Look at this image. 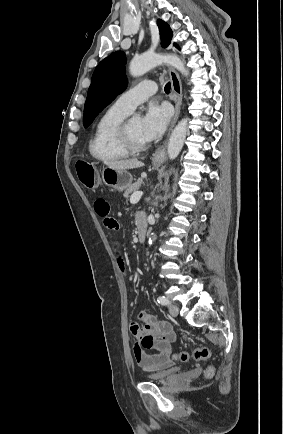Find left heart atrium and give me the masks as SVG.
<instances>
[{"label":"left heart atrium","mask_w":283,"mask_h":434,"mask_svg":"<svg viewBox=\"0 0 283 434\" xmlns=\"http://www.w3.org/2000/svg\"><path fill=\"white\" fill-rule=\"evenodd\" d=\"M171 111L166 105L152 104L141 122V135L145 141L158 139L164 133L170 120Z\"/></svg>","instance_id":"39dd6f15"}]
</instances>
